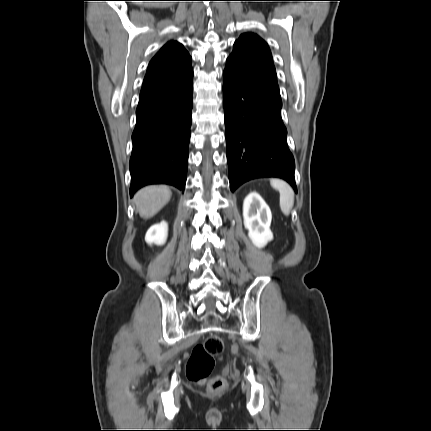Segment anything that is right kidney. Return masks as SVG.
Returning <instances> with one entry per match:
<instances>
[{
    "label": "right kidney",
    "mask_w": 431,
    "mask_h": 431,
    "mask_svg": "<svg viewBox=\"0 0 431 431\" xmlns=\"http://www.w3.org/2000/svg\"><path fill=\"white\" fill-rule=\"evenodd\" d=\"M167 238V223L161 222L149 228L146 233L145 240L148 244L155 243L157 245L164 244Z\"/></svg>",
    "instance_id": "ca27d5eb"
}]
</instances>
